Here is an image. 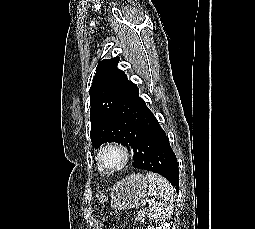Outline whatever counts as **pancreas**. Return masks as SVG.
<instances>
[{
    "instance_id": "1",
    "label": "pancreas",
    "mask_w": 255,
    "mask_h": 229,
    "mask_svg": "<svg viewBox=\"0 0 255 229\" xmlns=\"http://www.w3.org/2000/svg\"><path fill=\"white\" fill-rule=\"evenodd\" d=\"M144 217H145V211L144 210H141L140 212H139V214H138V220L140 221V222H144Z\"/></svg>"
}]
</instances>
